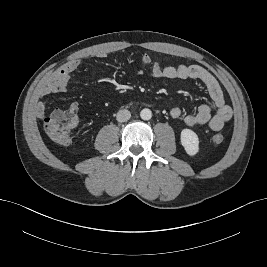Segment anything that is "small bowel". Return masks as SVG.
<instances>
[{
	"mask_svg": "<svg viewBox=\"0 0 267 267\" xmlns=\"http://www.w3.org/2000/svg\"><path fill=\"white\" fill-rule=\"evenodd\" d=\"M99 58L106 57L105 53H98ZM79 61L73 60L68 62L63 68L59 69L54 76L46 83L41 91V95L65 93L69 88L71 75L78 69ZM146 71L154 78L167 79H194L201 81L213 102L215 111L209 105L203 104L199 106L195 113H190L184 116V123L189 127H196L208 125L213 131H219L224 124L232 117V109L226 103L221 87L216 78L208 72L205 68L199 65H178V66H162L158 62H152L149 55L142 56L139 67L137 69L138 75H143ZM78 104L72 103L69 112L77 114ZM36 115L39 118L46 116V107L43 102H39L35 109ZM182 112L178 107L170 110V115L173 118H179Z\"/></svg>",
	"mask_w": 267,
	"mask_h": 267,
	"instance_id": "small-bowel-1",
	"label": "small bowel"
}]
</instances>
